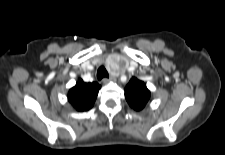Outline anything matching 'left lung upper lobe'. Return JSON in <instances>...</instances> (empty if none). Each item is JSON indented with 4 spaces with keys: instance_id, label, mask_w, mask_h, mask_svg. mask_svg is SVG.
Masks as SVG:
<instances>
[{
    "instance_id": "obj_1",
    "label": "left lung upper lobe",
    "mask_w": 225,
    "mask_h": 155,
    "mask_svg": "<svg viewBox=\"0 0 225 155\" xmlns=\"http://www.w3.org/2000/svg\"><path fill=\"white\" fill-rule=\"evenodd\" d=\"M125 98L134 110L140 111L149 103L150 91L143 81L132 77L125 87Z\"/></svg>"
}]
</instances>
